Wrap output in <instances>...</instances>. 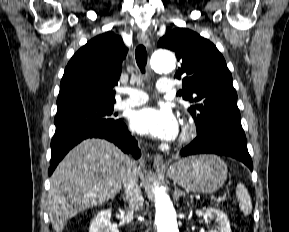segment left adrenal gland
Returning a JSON list of instances; mask_svg holds the SVG:
<instances>
[{
    "instance_id": "left-adrenal-gland-1",
    "label": "left adrenal gland",
    "mask_w": 289,
    "mask_h": 232,
    "mask_svg": "<svg viewBox=\"0 0 289 232\" xmlns=\"http://www.w3.org/2000/svg\"><path fill=\"white\" fill-rule=\"evenodd\" d=\"M182 196L185 197V194L182 191H180L177 187H175L174 198L178 200Z\"/></svg>"
}]
</instances>
